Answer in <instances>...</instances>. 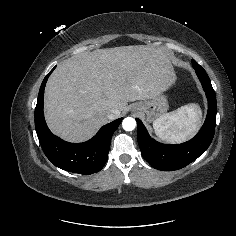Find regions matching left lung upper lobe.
Segmentation results:
<instances>
[{
	"label": "left lung upper lobe",
	"mask_w": 236,
	"mask_h": 236,
	"mask_svg": "<svg viewBox=\"0 0 236 236\" xmlns=\"http://www.w3.org/2000/svg\"><path fill=\"white\" fill-rule=\"evenodd\" d=\"M192 65L194 67V69H199V70H202L203 68L197 63L195 62L194 60H192Z\"/></svg>",
	"instance_id": "1"
}]
</instances>
